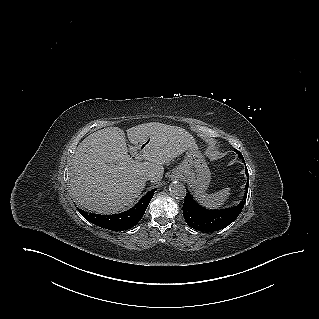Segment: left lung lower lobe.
<instances>
[{
	"instance_id": "1",
	"label": "left lung lower lobe",
	"mask_w": 319,
	"mask_h": 319,
	"mask_svg": "<svg viewBox=\"0 0 319 319\" xmlns=\"http://www.w3.org/2000/svg\"><path fill=\"white\" fill-rule=\"evenodd\" d=\"M245 173L249 177L247 170ZM248 185L249 181L246 183V189H248ZM247 192H245L243 200L237 206L223 210H207L202 208L196 204L188 193L183 204L184 219L190 227L202 232H212L225 228L241 213L246 202Z\"/></svg>"
}]
</instances>
